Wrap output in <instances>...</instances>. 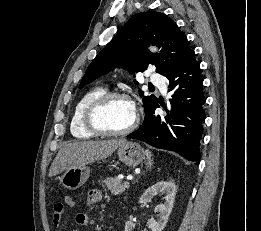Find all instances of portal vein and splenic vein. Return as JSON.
Here are the masks:
<instances>
[{
    "label": "portal vein and splenic vein",
    "mask_w": 261,
    "mask_h": 231,
    "mask_svg": "<svg viewBox=\"0 0 261 231\" xmlns=\"http://www.w3.org/2000/svg\"><path fill=\"white\" fill-rule=\"evenodd\" d=\"M124 184H125V185H129V182H128V181H125Z\"/></svg>",
    "instance_id": "18ae733b"
}]
</instances>
